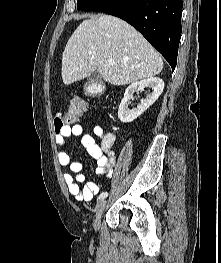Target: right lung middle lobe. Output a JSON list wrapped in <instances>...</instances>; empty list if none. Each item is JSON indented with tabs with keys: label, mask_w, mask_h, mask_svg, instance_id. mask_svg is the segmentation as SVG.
Returning a JSON list of instances; mask_svg holds the SVG:
<instances>
[{
	"label": "right lung middle lobe",
	"mask_w": 221,
	"mask_h": 263,
	"mask_svg": "<svg viewBox=\"0 0 221 263\" xmlns=\"http://www.w3.org/2000/svg\"><path fill=\"white\" fill-rule=\"evenodd\" d=\"M103 0H77V9L83 11L94 10Z\"/></svg>",
	"instance_id": "obj_1"
}]
</instances>
